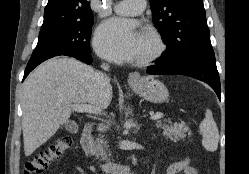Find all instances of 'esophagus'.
<instances>
[{"instance_id":"34e87169","label":"esophagus","mask_w":249,"mask_h":174,"mask_svg":"<svg viewBox=\"0 0 249 174\" xmlns=\"http://www.w3.org/2000/svg\"><path fill=\"white\" fill-rule=\"evenodd\" d=\"M140 80V74L138 72H132L128 76V82L130 84H135Z\"/></svg>"}]
</instances>
